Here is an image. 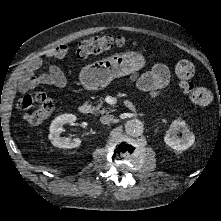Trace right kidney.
I'll return each mask as SVG.
<instances>
[{
	"mask_svg": "<svg viewBox=\"0 0 221 221\" xmlns=\"http://www.w3.org/2000/svg\"><path fill=\"white\" fill-rule=\"evenodd\" d=\"M76 119L77 117L75 115L66 113L59 115L52 121L49 128L50 133L48 137L55 147L72 149L81 145L82 141L79 138L71 139L60 137V134L64 131L63 125L73 123L76 121Z\"/></svg>",
	"mask_w": 221,
	"mask_h": 221,
	"instance_id": "ca27d5eb",
	"label": "right kidney"
}]
</instances>
